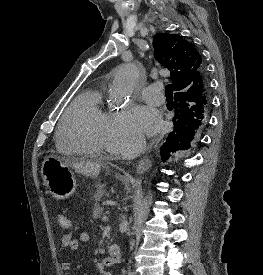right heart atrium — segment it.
<instances>
[{"label":"right heart atrium","instance_id":"right-heart-atrium-1","mask_svg":"<svg viewBox=\"0 0 263 275\" xmlns=\"http://www.w3.org/2000/svg\"><path fill=\"white\" fill-rule=\"evenodd\" d=\"M141 143L142 137L134 132L129 125L127 112L119 111L110 115L106 128V147L109 151L124 152Z\"/></svg>","mask_w":263,"mask_h":275}]
</instances>
